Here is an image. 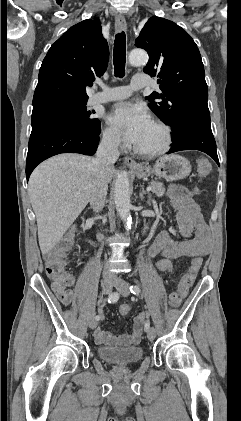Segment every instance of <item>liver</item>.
<instances>
[{
	"label": "liver",
	"mask_w": 241,
	"mask_h": 421,
	"mask_svg": "<svg viewBox=\"0 0 241 421\" xmlns=\"http://www.w3.org/2000/svg\"><path fill=\"white\" fill-rule=\"evenodd\" d=\"M93 160L81 154H60L41 163L31 174L28 193L43 255L60 242L87 206L94 182ZM114 173L112 167L107 171L108 182Z\"/></svg>",
	"instance_id": "obj_1"
}]
</instances>
